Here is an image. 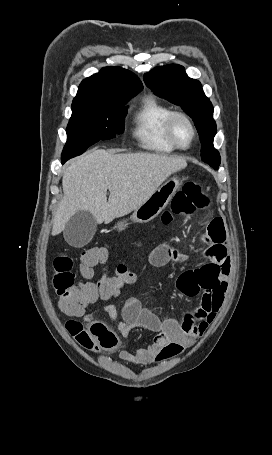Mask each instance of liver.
Returning a JSON list of instances; mask_svg holds the SVG:
<instances>
[{"label": "liver", "mask_w": 272, "mask_h": 455, "mask_svg": "<svg viewBox=\"0 0 272 455\" xmlns=\"http://www.w3.org/2000/svg\"><path fill=\"white\" fill-rule=\"evenodd\" d=\"M186 166L181 157L104 149L78 157L63 174L64 195L54 214L51 234H60L78 211L90 212L97 224L129 214L171 174Z\"/></svg>", "instance_id": "1"}]
</instances>
